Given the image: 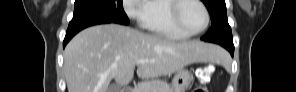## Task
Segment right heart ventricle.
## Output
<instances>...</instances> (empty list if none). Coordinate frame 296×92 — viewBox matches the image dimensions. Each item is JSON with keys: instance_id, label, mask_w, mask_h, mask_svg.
Wrapping results in <instances>:
<instances>
[{"instance_id": "1", "label": "right heart ventricle", "mask_w": 296, "mask_h": 92, "mask_svg": "<svg viewBox=\"0 0 296 92\" xmlns=\"http://www.w3.org/2000/svg\"><path fill=\"white\" fill-rule=\"evenodd\" d=\"M171 0H153L148 2V12L143 27L155 34L171 39H185L187 36L179 32L171 22Z\"/></svg>"}]
</instances>
